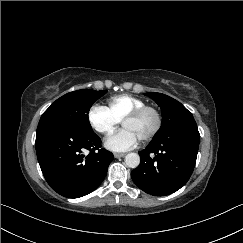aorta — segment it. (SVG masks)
<instances>
[{
  "label": "aorta",
  "instance_id": "aorta-1",
  "mask_svg": "<svg viewBox=\"0 0 243 243\" xmlns=\"http://www.w3.org/2000/svg\"><path fill=\"white\" fill-rule=\"evenodd\" d=\"M125 164L130 168H136L140 164V157L137 153H129L125 157Z\"/></svg>",
  "mask_w": 243,
  "mask_h": 243
}]
</instances>
